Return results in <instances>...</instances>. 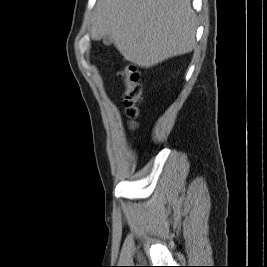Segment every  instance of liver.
Returning <instances> with one entry per match:
<instances>
[{
    "label": "liver",
    "mask_w": 267,
    "mask_h": 267,
    "mask_svg": "<svg viewBox=\"0 0 267 267\" xmlns=\"http://www.w3.org/2000/svg\"><path fill=\"white\" fill-rule=\"evenodd\" d=\"M196 26L190 0H98L91 37L110 36L125 59L150 68L191 52Z\"/></svg>",
    "instance_id": "1"
}]
</instances>
